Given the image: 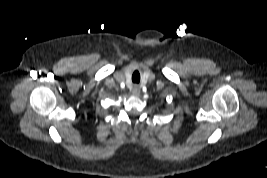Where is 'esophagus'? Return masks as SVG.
Returning <instances> with one entry per match:
<instances>
[{
	"label": "esophagus",
	"instance_id": "obj_1",
	"mask_svg": "<svg viewBox=\"0 0 267 178\" xmlns=\"http://www.w3.org/2000/svg\"><path fill=\"white\" fill-rule=\"evenodd\" d=\"M133 93H134L135 95H139V93H140V87L137 86V85H135V86L133 87Z\"/></svg>",
	"mask_w": 267,
	"mask_h": 178
}]
</instances>
